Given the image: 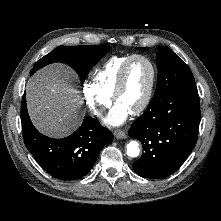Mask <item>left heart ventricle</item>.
<instances>
[{"label": "left heart ventricle", "mask_w": 221, "mask_h": 221, "mask_svg": "<svg viewBox=\"0 0 221 221\" xmlns=\"http://www.w3.org/2000/svg\"><path fill=\"white\" fill-rule=\"evenodd\" d=\"M151 79L149 65L142 59L134 60L127 72L125 87L116 103L133 112L143 101Z\"/></svg>", "instance_id": "left-heart-ventricle-1"}]
</instances>
